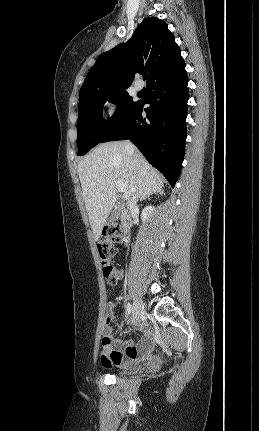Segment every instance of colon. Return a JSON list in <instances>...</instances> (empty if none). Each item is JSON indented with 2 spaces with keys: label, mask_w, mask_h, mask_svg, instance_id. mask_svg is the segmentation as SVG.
Segmentation results:
<instances>
[{
  "label": "colon",
  "mask_w": 259,
  "mask_h": 431,
  "mask_svg": "<svg viewBox=\"0 0 259 431\" xmlns=\"http://www.w3.org/2000/svg\"><path fill=\"white\" fill-rule=\"evenodd\" d=\"M123 231L117 225H107L102 231L101 238L98 242V252L103 266V275L110 285H115L122 277L121 269L112 263L117 254L116 244L122 241ZM110 341L104 336L103 344Z\"/></svg>",
  "instance_id": "5ec220e1"
}]
</instances>
